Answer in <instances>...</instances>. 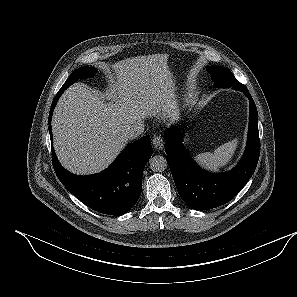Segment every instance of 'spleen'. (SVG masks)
Instances as JSON below:
<instances>
[{
  "label": "spleen",
  "mask_w": 297,
  "mask_h": 297,
  "mask_svg": "<svg viewBox=\"0 0 297 297\" xmlns=\"http://www.w3.org/2000/svg\"><path fill=\"white\" fill-rule=\"evenodd\" d=\"M237 145L238 140L233 139L215 149L214 153L206 152L197 155L195 161L205 169L218 171L231 160Z\"/></svg>",
  "instance_id": "spleen-1"
}]
</instances>
